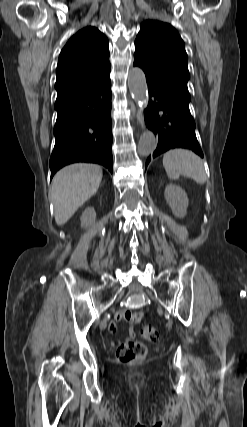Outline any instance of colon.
I'll list each match as a JSON object with an SVG mask.
<instances>
[{
    "label": "colon",
    "mask_w": 247,
    "mask_h": 427,
    "mask_svg": "<svg viewBox=\"0 0 247 427\" xmlns=\"http://www.w3.org/2000/svg\"><path fill=\"white\" fill-rule=\"evenodd\" d=\"M142 336L150 342H158L160 332L151 325H145L142 329ZM147 355V348L140 342H125L121 344L116 352L119 362L129 364L142 361Z\"/></svg>",
    "instance_id": "obj_1"
}]
</instances>
